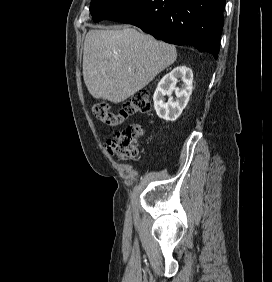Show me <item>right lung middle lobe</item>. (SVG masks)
<instances>
[{
	"label": "right lung middle lobe",
	"instance_id": "dd1d6c3e",
	"mask_svg": "<svg viewBox=\"0 0 272 282\" xmlns=\"http://www.w3.org/2000/svg\"><path fill=\"white\" fill-rule=\"evenodd\" d=\"M137 0H92L90 13L94 22L109 19Z\"/></svg>",
	"mask_w": 272,
	"mask_h": 282
}]
</instances>
